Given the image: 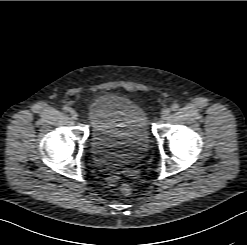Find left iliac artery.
<instances>
[{
	"label": "left iliac artery",
	"instance_id": "44dca946",
	"mask_svg": "<svg viewBox=\"0 0 247 245\" xmlns=\"http://www.w3.org/2000/svg\"><path fill=\"white\" fill-rule=\"evenodd\" d=\"M172 111H177L179 109V105L177 103L172 104L171 106Z\"/></svg>",
	"mask_w": 247,
	"mask_h": 245
}]
</instances>
